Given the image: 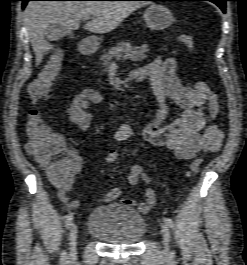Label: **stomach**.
Listing matches in <instances>:
<instances>
[{"label":"stomach","instance_id":"0dacf381","mask_svg":"<svg viewBox=\"0 0 247 265\" xmlns=\"http://www.w3.org/2000/svg\"><path fill=\"white\" fill-rule=\"evenodd\" d=\"M144 19L151 30L166 29L174 22L171 11L161 4H151L144 12Z\"/></svg>","mask_w":247,"mask_h":265}]
</instances>
